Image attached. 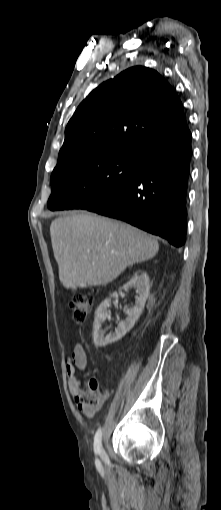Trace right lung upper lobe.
Segmentation results:
<instances>
[{"instance_id": "right-lung-upper-lobe-1", "label": "right lung upper lobe", "mask_w": 221, "mask_h": 510, "mask_svg": "<svg viewBox=\"0 0 221 510\" xmlns=\"http://www.w3.org/2000/svg\"><path fill=\"white\" fill-rule=\"evenodd\" d=\"M189 131L182 103L156 71L136 66L102 83L65 129L58 163L82 153L151 145Z\"/></svg>"}]
</instances>
